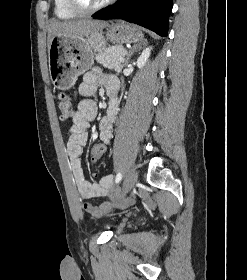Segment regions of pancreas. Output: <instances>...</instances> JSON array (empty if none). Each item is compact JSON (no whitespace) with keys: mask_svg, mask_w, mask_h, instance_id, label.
Instances as JSON below:
<instances>
[{"mask_svg":"<svg viewBox=\"0 0 247 280\" xmlns=\"http://www.w3.org/2000/svg\"><path fill=\"white\" fill-rule=\"evenodd\" d=\"M125 52V48L121 45L109 46L103 51H100L96 55L95 60L105 68L113 69L116 72H121L123 64L119 59Z\"/></svg>","mask_w":247,"mask_h":280,"instance_id":"obj_1","label":"pancreas"}]
</instances>
